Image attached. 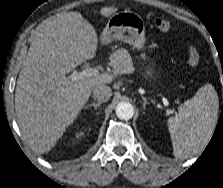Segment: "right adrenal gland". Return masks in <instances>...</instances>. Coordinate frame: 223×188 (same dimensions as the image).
I'll return each instance as SVG.
<instances>
[{
  "label": "right adrenal gland",
  "instance_id": "2a0ac1e0",
  "mask_svg": "<svg viewBox=\"0 0 223 188\" xmlns=\"http://www.w3.org/2000/svg\"><path fill=\"white\" fill-rule=\"evenodd\" d=\"M101 104H102V102L97 101V103H92V104L86 105L84 109L93 106V107L97 110V108H98Z\"/></svg>",
  "mask_w": 223,
  "mask_h": 188
}]
</instances>
